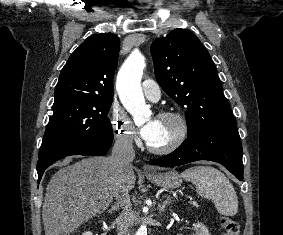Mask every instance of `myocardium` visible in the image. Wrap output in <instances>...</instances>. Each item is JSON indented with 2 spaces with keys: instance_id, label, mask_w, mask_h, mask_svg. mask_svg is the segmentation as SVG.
I'll return each instance as SVG.
<instances>
[{
  "instance_id": "obj_1",
  "label": "myocardium",
  "mask_w": 283,
  "mask_h": 235,
  "mask_svg": "<svg viewBox=\"0 0 283 235\" xmlns=\"http://www.w3.org/2000/svg\"><path fill=\"white\" fill-rule=\"evenodd\" d=\"M159 117L160 119L174 122L177 125V132L173 139L164 146L155 147L150 143H147L146 145L150 152L158 155H166L178 149L186 141L189 135V124L186 118L178 112H163Z\"/></svg>"
}]
</instances>
